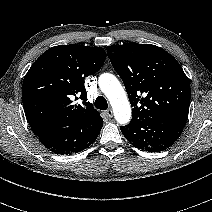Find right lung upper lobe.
<instances>
[{"label":"right lung upper lobe","instance_id":"cb5924a9","mask_svg":"<svg viewBox=\"0 0 212 212\" xmlns=\"http://www.w3.org/2000/svg\"><path fill=\"white\" fill-rule=\"evenodd\" d=\"M105 59L101 47L73 44L51 47L34 62L24 77L22 101L36 135L49 129L79 123L92 126L102 121L87 101L84 79L96 73ZM78 98L82 104H73Z\"/></svg>","mask_w":212,"mask_h":212}]
</instances>
